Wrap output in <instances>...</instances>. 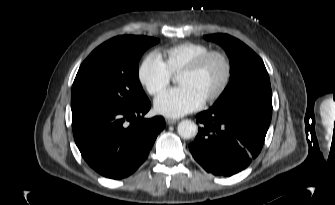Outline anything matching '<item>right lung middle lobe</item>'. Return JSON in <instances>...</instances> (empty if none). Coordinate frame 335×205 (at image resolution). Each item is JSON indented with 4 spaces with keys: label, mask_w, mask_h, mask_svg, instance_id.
Listing matches in <instances>:
<instances>
[{
    "label": "right lung middle lobe",
    "mask_w": 335,
    "mask_h": 205,
    "mask_svg": "<svg viewBox=\"0 0 335 205\" xmlns=\"http://www.w3.org/2000/svg\"><path fill=\"white\" fill-rule=\"evenodd\" d=\"M159 42L147 36L123 35L97 47L81 64L71 91L72 112L88 108H120L147 96L139 81L138 63Z\"/></svg>",
    "instance_id": "1"
}]
</instances>
